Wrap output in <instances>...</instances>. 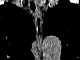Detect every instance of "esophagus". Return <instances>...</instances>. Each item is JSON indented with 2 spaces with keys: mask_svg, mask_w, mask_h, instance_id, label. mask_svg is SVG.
<instances>
[{
  "mask_svg": "<svg viewBox=\"0 0 80 60\" xmlns=\"http://www.w3.org/2000/svg\"><path fill=\"white\" fill-rule=\"evenodd\" d=\"M35 27H36V39L38 48L41 49V43H42V13L41 10L38 7V1H36V12H35Z\"/></svg>",
  "mask_w": 80,
  "mask_h": 60,
  "instance_id": "34e87169",
  "label": "esophagus"
}]
</instances>
